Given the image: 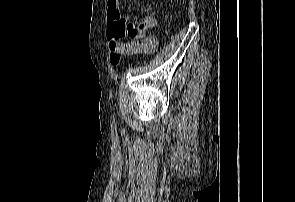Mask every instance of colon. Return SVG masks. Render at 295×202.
Segmentation results:
<instances>
[{
    "label": "colon",
    "mask_w": 295,
    "mask_h": 202,
    "mask_svg": "<svg viewBox=\"0 0 295 202\" xmlns=\"http://www.w3.org/2000/svg\"><path fill=\"white\" fill-rule=\"evenodd\" d=\"M145 25V22H141L135 15L121 16L118 21L111 23L110 43L112 49L125 44H135L138 46L136 51L149 50L150 45L135 43L142 36Z\"/></svg>",
    "instance_id": "1"
}]
</instances>
